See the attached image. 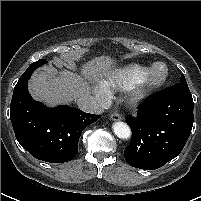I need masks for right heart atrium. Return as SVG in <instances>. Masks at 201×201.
Returning a JSON list of instances; mask_svg holds the SVG:
<instances>
[{
  "label": "right heart atrium",
  "instance_id": "right-heart-atrium-1",
  "mask_svg": "<svg viewBox=\"0 0 201 201\" xmlns=\"http://www.w3.org/2000/svg\"><path fill=\"white\" fill-rule=\"evenodd\" d=\"M95 94L100 103H105L108 99V93L103 87H96Z\"/></svg>",
  "mask_w": 201,
  "mask_h": 201
}]
</instances>
